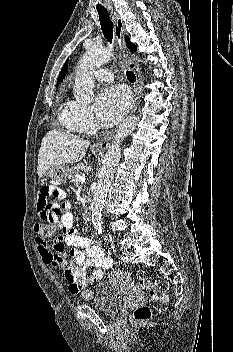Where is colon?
<instances>
[{
    "label": "colon",
    "instance_id": "colon-1",
    "mask_svg": "<svg viewBox=\"0 0 233 352\" xmlns=\"http://www.w3.org/2000/svg\"><path fill=\"white\" fill-rule=\"evenodd\" d=\"M35 230L38 233L39 238L43 242L53 240L58 236V229L46 221L38 222L35 225ZM140 285L147 291L149 296L162 304H168L169 297L165 292L164 288L159 282L152 278H141ZM80 297L84 300H88L92 297V291L89 289H80ZM152 315V311L148 306H140L135 309L133 318L137 322L148 320Z\"/></svg>",
    "mask_w": 233,
    "mask_h": 352
}]
</instances>
